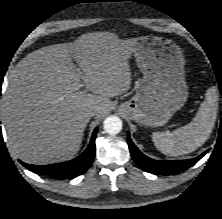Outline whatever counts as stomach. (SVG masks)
<instances>
[{"instance_id": "stomach-1", "label": "stomach", "mask_w": 222, "mask_h": 219, "mask_svg": "<svg viewBox=\"0 0 222 219\" xmlns=\"http://www.w3.org/2000/svg\"><path fill=\"white\" fill-rule=\"evenodd\" d=\"M120 46L128 58L135 57L143 74L135 95L120 105L121 111L141 125H164L188 98L180 47L158 36L122 40Z\"/></svg>"}]
</instances>
